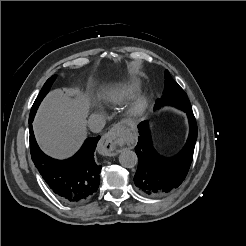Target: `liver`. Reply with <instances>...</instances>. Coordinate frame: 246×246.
<instances>
[{"instance_id": "liver-1", "label": "liver", "mask_w": 246, "mask_h": 246, "mask_svg": "<svg viewBox=\"0 0 246 246\" xmlns=\"http://www.w3.org/2000/svg\"><path fill=\"white\" fill-rule=\"evenodd\" d=\"M90 100L77 90L55 89L43 100L33 123L35 137L48 155H73L86 137Z\"/></svg>"}]
</instances>
